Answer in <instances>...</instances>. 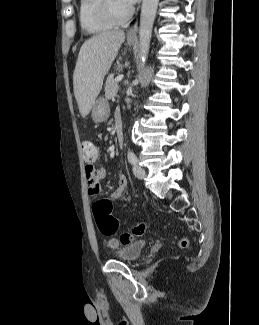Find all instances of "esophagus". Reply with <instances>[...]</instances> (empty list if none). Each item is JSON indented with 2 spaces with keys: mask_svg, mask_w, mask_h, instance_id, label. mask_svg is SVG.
<instances>
[{
  "mask_svg": "<svg viewBox=\"0 0 259 325\" xmlns=\"http://www.w3.org/2000/svg\"><path fill=\"white\" fill-rule=\"evenodd\" d=\"M127 36H128V38H132V39L137 37V26H136V24L128 30Z\"/></svg>",
  "mask_w": 259,
  "mask_h": 325,
  "instance_id": "obj_1",
  "label": "esophagus"
}]
</instances>
